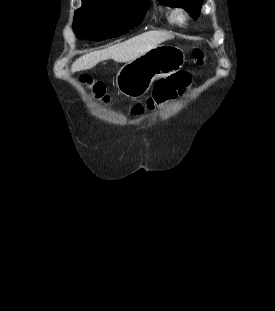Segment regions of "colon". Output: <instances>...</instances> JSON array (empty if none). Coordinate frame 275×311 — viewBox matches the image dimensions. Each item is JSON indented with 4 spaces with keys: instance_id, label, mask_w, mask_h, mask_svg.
Wrapping results in <instances>:
<instances>
[{
    "instance_id": "obj_1",
    "label": "colon",
    "mask_w": 275,
    "mask_h": 311,
    "mask_svg": "<svg viewBox=\"0 0 275 311\" xmlns=\"http://www.w3.org/2000/svg\"><path fill=\"white\" fill-rule=\"evenodd\" d=\"M193 57L198 64H202L205 59V54L200 48H195L193 50ZM82 80L87 83L90 81V78L87 75H83ZM189 81V74L178 73L170 76L166 80L157 82L154 87L153 96L147 101V106L151 108L156 102H161L174 97L184 88L186 84L189 83ZM94 87L98 94L103 96L104 99H107V96L105 95V88L101 83H96Z\"/></svg>"
}]
</instances>
